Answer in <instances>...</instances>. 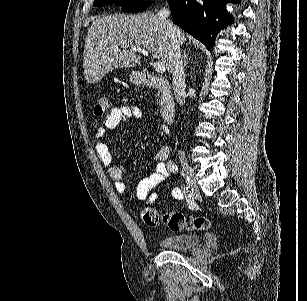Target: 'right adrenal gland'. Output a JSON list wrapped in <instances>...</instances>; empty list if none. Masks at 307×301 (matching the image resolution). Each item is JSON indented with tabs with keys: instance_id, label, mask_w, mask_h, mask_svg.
Masks as SVG:
<instances>
[{
	"instance_id": "2a0ac1e0",
	"label": "right adrenal gland",
	"mask_w": 307,
	"mask_h": 301,
	"mask_svg": "<svg viewBox=\"0 0 307 301\" xmlns=\"http://www.w3.org/2000/svg\"><path fill=\"white\" fill-rule=\"evenodd\" d=\"M183 54H184V56H183V58H184V68H185V70H186L187 64H188V58H187V52H186V50H184Z\"/></svg>"
}]
</instances>
